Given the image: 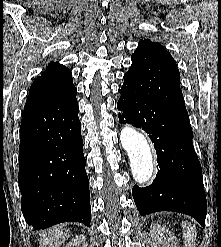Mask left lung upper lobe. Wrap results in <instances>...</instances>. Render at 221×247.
<instances>
[{
  "instance_id": "1",
  "label": "left lung upper lobe",
  "mask_w": 221,
  "mask_h": 247,
  "mask_svg": "<svg viewBox=\"0 0 221 247\" xmlns=\"http://www.w3.org/2000/svg\"><path fill=\"white\" fill-rule=\"evenodd\" d=\"M132 65L125 76L137 94L186 111L180 89V73L171 54L157 42L140 40L131 56Z\"/></svg>"
}]
</instances>
